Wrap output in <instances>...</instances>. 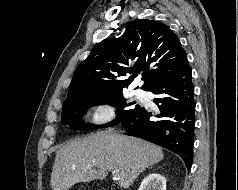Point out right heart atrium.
Instances as JSON below:
<instances>
[{
  "mask_svg": "<svg viewBox=\"0 0 238 190\" xmlns=\"http://www.w3.org/2000/svg\"><path fill=\"white\" fill-rule=\"evenodd\" d=\"M116 117L115 106L108 101H97L91 109V122L95 126H101L114 120Z\"/></svg>",
  "mask_w": 238,
  "mask_h": 190,
  "instance_id": "1",
  "label": "right heart atrium"
}]
</instances>
